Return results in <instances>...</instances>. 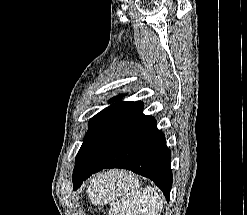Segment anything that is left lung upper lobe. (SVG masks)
<instances>
[{"label":"left lung upper lobe","mask_w":247,"mask_h":215,"mask_svg":"<svg viewBox=\"0 0 247 215\" xmlns=\"http://www.w3.org/2000/svg\"><path fill=\"white\" fill-rule=\"evenodd\" d=\"M122 95L112 98L110 101L118 102L103 109L89 121V130L85 140H94L108 130L132 105L133 102H123L120 100Z\"/></svg>","instance_id":"5c2ea615"}]
</instances>
